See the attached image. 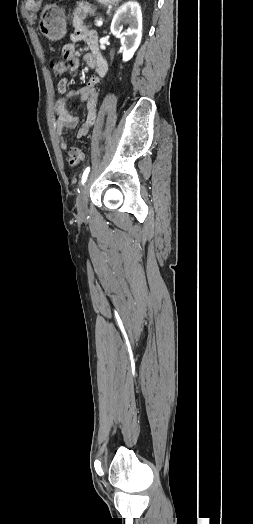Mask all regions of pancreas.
<instances>
[{
    "mask_svg": "<svg viewBox=\"0 0 253 524\" xmlns=\"http://www.w3.org/2000/svg\"><path fill=\"white\" fill-rule=\"evenodd\" d=\"M95 12V7H91L88 3L79 2L72 15L73 19H84L88 15H94Z\"/></svg>",
    "mask_w": 253,
    "mask_h": 524,
    "instance_id": "obj_1",
    "label": "pancreas"
}]
</instances>
